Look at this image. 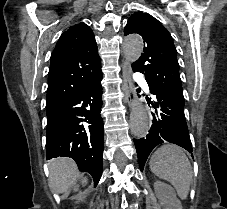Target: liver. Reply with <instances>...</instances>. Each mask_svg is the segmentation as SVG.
<instances>
[{
  "label": "liver",
  "instance_id": "obj_1",
  "mask_svg": "<svg viewBox=\"0 0 227 209\" xmlns=\"http://www.w3.org/2000/svg\"><path fill=\"white\" fill-rule=\"evenodd\" d=\"M79 177L76 163L68 157L52 159L49 165V187L52 193H66L70 187L76 185L75 181ZM87 179H83L82 185H86ZM77 191V189H74Z\"/></svg>",
  "mask_w": 227,
  "mask_h": 209
}]
</instances>
